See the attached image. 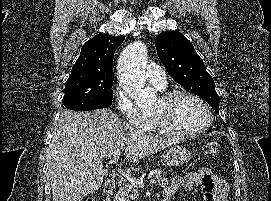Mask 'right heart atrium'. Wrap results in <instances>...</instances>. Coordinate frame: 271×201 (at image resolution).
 Masks as SVG:
<instances>
[{
  "label": "right heart atrium",
  "instance_id": "right-heart-atrium-1",
  "mask_svg": "<svg viewBox=\"0 0 271 201\" xmlns=\"http://www.w3.org/2000/svg\"><path fill=\"white\" fill-rule=\"evenodd\" d=\"M117 105L128 125L141 129H145L149 125L152 118L141 113L125 93H118Z\"/></svg>",
  "mask_w": 271,
  "mask_h": 201
}]
</instances>
